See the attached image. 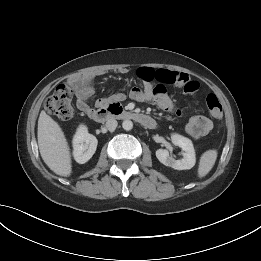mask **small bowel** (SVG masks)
Masks as SVG:
<instances>
[{
  "mask_svg": "<svg viewBox=\"0 0 261 261\" xmlns=\"http://www.w3.org/2000/svg\"><path fill=\"white\" fill-rule=\"evenodd\" d=\"M121 74L125 70L118 71ZM99 73L89 71L71 79L77 107L89 115L93 109L89 106L88 101L94 94L92 86L94 78ZM139 77L143 80V87H134L130 92V97L136 101H154L160 108L168 111H174L175 107L164 88L165 84H174L183 89L186 94H193L199 89V83L191 79L187 74L173 72L169 70L154 71L150 68H141L138 71ZM157 80L160 84L153 85L152 80ZM115 100L124 99L122 94H117ZM104 99H100L99 103H103ZM179 113V111H177ZM212 122L205 116H194L186 124L185 130L188 135L194 139L207 136L212 130Z\"/></svg>",
  "mask_w": 261,
  "mask_h": 261,
  "instance_id": "c3829d8e",
  "label": "small bowel"
}]
</instances>
